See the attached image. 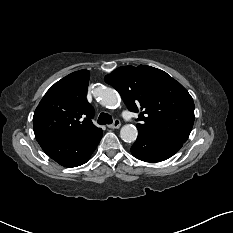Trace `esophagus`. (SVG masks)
Segmentation results:
<instances>
[{
  "mask_svg": "<svg viewBox=\"0 0 233 233\" xmlns=\"http://www.w3.org/2000/svg\"><path fill=\"white\" fill-rule=\"evenodd\" d=\"M121 126V122L119 119H115L114 122L110 125H108L111 129H118Z\"/></svg>",
  "mask_w": 233,
  "mask_h": 233,
  "instance_id": "34e87169",
  "label": "esophagus"
}]
</instances>
